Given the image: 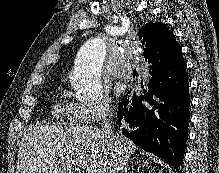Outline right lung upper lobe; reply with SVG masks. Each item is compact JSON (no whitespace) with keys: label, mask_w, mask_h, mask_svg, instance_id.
<instances>
[{"label":"right lung upper lobe","mask_w":219,"mask_h":173,"mask_svg":"<svg viewBox=\"0 0 219 173\" xmlns=\"http://www.w3.org/2000/svg\"><path fill=\"white\" fill-rule=\"evenodd\" d=\"M142 44L145 45L144 57L149 60L151 56H181V48L175 40L173 33L161 22L147 23L139 31Z\"/></svg>","instance_id":"cb5924a9"}]
</instances>
